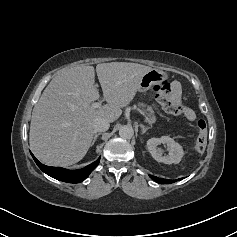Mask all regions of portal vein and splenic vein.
Here are the masks:
<instances>
[{
    "label": "portal vein and splenic vein",
    "instance_id": "1",
    "mask_svg": "<svg viewBox=\"0 0 237 237\" xmlns=\"http://www.w3.org/2000/svg\"><path fill=\"white\" fill-rule=\"evenodd\" d=\"M101 106V103L100 102H94V103H92V107L93 108H98V107H100Z\"/></svg>",
    "mask_w": 237,
    "mask_h": 237
}]
</instances>
